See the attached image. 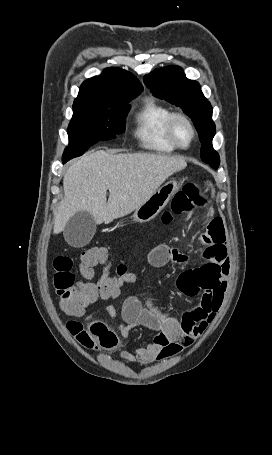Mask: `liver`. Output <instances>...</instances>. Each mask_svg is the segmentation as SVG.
<instances>
[{
    "label": "liver",
    "instance_id": "obj_1",
    "mask_svg": "<svg viewBox=\"0 0 272 455\" xmlns=\"http://www.w3.org/2000/svg\"><path fill=\"white\" fill-rule=\"evenodd\" d=\"M186 166L181 157L149 153L98 150L80 157L64 175V198L55 213L53 233L62 232L80 211L90 213L96 224L130 214Z\"/></svg>",
    "mask_w": 272,
    "mask_h": 455
}]
</instances>
